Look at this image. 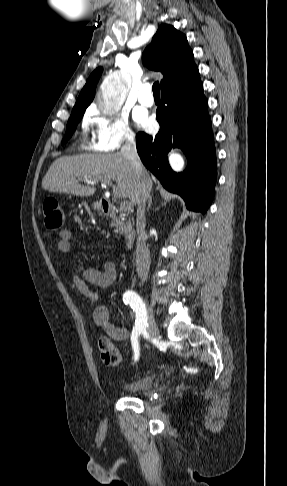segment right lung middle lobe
<instances>
[{
    "label": "right lung middle lobe",
    "mask_w": 287,
    "mask_h": 486,
    "mask_svg": "<svg viewBox=\"0 0 287 486\" xmlns=\"http://www.w3.org/2000/svg\"><path fill=\"white\" fill-rule=\"evenodd\" d=\"M84 112L78 114H72L67 123L66 135L62 144H64L72 135L73 131L75 130L76 125L83 117Z\"/></svg>",
    "instance_id": "right-lung-middle-lobe-1"
}]
</instances>
